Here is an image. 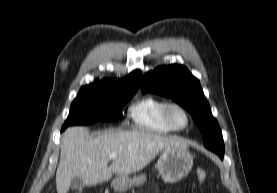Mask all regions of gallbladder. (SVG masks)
I'll use <instances>...</instances> for the list:
<instances>
[{
	"label": "gallbladder",
	"instance_id": "1",
	"mask_svg": "<svg viewBox=\"0 0 277 193\" xmlns=\"http://www.w3.org/2000/svg\"><path fill=\"white\" fill-rule=\"evenodd\" d=\"M84 182L80 177H75L71 180L70 188L74 190H81L84 187Z\"/></svg>",
	"mask_w": 277,
	"mask_h": 193
}]
</instances>
